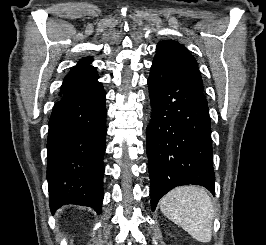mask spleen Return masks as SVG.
I'll return each mask as SVG.
<instances>
[{
	"label": "spleen",
	"mask_w": 266,
	"mask_h": 245,
	"mask_svg": "<svg viewBox=\"0 0 266 245\" xmlns=\"http://www.w3.org/2000/svg\"><path fill=\"white\" fill-rule=\"evenodd\" d=\"M160 209L199 243H210L214 205L202 187H176L160 201Z\"/></svg>",
	"instance_id": "spleen-1"
}]
</instances>
